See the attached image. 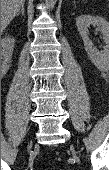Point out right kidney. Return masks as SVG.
<instances>
[{
  "label": "right kidney",
  "mask_w": 109,
  "mask_h": 170,
  "mask_svg": "<svg viewBox=\"0 0 109 170\" xmlns=\"http://www.w3.org/2000/svg\"><path fill=\"white\" fill-rule=\"evenodd\" d=\"M15 40L12 37L1 39V73L5 75L10 68Z\"/></svg>",
  "instance_id": "ca27d5eb"
}]
</instances>
